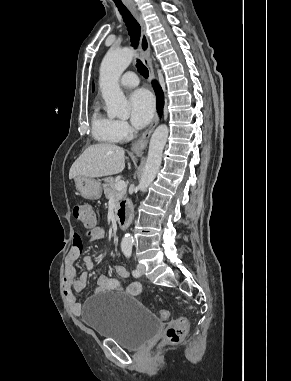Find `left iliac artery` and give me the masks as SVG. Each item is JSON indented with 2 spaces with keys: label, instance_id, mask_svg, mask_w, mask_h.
<instances>
[{
  "label": "left iliac artery",
  "instance_id": "1",
  "mask_svg": "<svg viewBox=\"0 0 291 381\" xmlns=\"http://www.w3.org/2000/svg\"><path fill=\"white\" fill-rule=\"evenodd\" d=\"M124 254L127 258H130L132 255V251L131 250H124ZM132 274L134 277H139L141 275L137 269H134L132 271Z\"/></svg>",
  "mask_w": 291,
  "mask_h": 381
}]
</instances>
